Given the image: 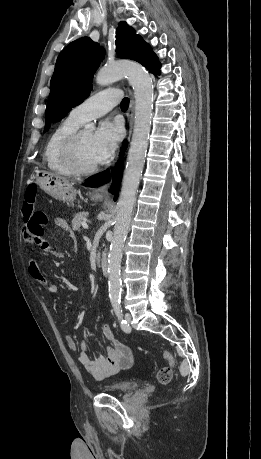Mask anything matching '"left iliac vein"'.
I'll use <instances>...</instances> for the list:
<instances>
[{
  "label": "left iliac vein",
  "mask_w": 261,
  "mask_h": 459,
  "mask_svg": "<svg viewBox=\"0 0 261 459\" xmlns=\"http://www.w3.org/2000/svg\"><path fill=\"white\" fill-rule=\"evenodd\" d=\"M125 319H126L127 323L129 324L131 322V319H132L131 314L130 313H126L125 314Z\"/></svg>",
  "instance_id": "4c4485c4"
}]
</instances>
